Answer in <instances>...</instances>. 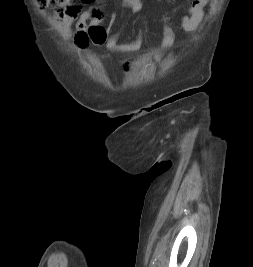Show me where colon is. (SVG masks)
Here are the masks:
<instances>
[{
    "label": "colon",
    "instance_id": "obj_1",
    "mask_svg": "<svg viewBox=\"0 0 253 267\" xmlns=\"http://www.w3.org/2000/svg\"><path fill=\"white\" fill-rule=\"evenodd\" d=\"M71 0H36L38 7H45L46 5H52L55 7H63L68 5ZM89 37L94 46H106L108 41V32L105 27L100 25L90 26Z\"/></svg>",
    "mask_w": 253,
    "mask_h": 267
}]
</instances>
